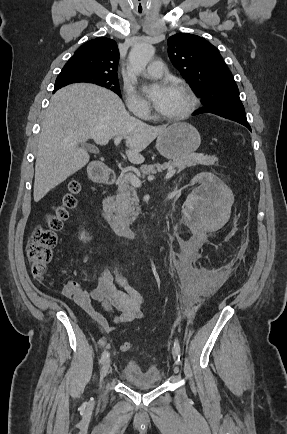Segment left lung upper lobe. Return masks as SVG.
Segmentation results:
<instances>
[{"label": "left lung upper lobe", "mask_w": 287, "mask_h": 434, "mask_svg": "<svg viewBox=\"0 0 287 434\" xmlns=\"http://www.w3.org/2000/svg\"><path fill=\"white\" fill-rule=\"evenodd\" d=\"M167 42L173 65L202 98V109L245 111L232 74L212 44L189 33L175 34Z\"/></svg>", "instance_id": "5c2ea615"}]
</instances>
